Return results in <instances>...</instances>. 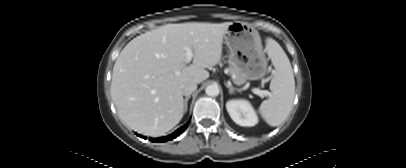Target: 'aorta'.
Here are the masks:
<instances>
[{
  "mask_svg": "<svg viewBox=\"0 0 406 168\" xmlns=\"http://www.w3.org/2000/svg\"><path fill=\"white\" fill-rule=\"evenodd\" d=\"M205 92H206V94L208 96H212V97L218 96L219 95V87L217 85H215V84L208 85L206 87Z\"/></svg>",
  "mask_w": 406,
  "mask_h": 168,
  "instance_id": "obj_1",
  "label": "aorta"
}]
</instances>
